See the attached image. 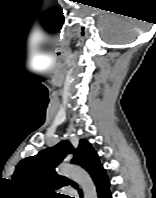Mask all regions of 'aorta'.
<instances>
[{"instance_id":"762f6f07","label":"aorta","mask_w":156,"mask_h":198,"mask_svg":"<svg viewBox=\"0 0 156 198\" xmlns=\"http://www.w3.org/2000/svg\"><path fill=\"white\" fill-rule=\"evenodd\" d=\"M57 171L71 177L83 190L84 198H97V190L90 175L81 167L70 164H61Z\"/></svg>"}]
</instances>
